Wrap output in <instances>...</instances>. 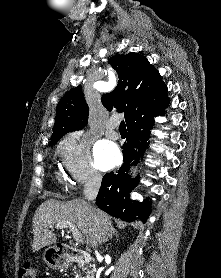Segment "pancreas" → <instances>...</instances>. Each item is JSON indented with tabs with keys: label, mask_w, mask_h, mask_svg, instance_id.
I'll return each mask as SVG.
<instances>
[{
	"label": "pancreas",
	"mask_w": 221,
	"mask_h": 278,
	"mask_svg": "<svg viewBox=\"0 0 221 278\" xmlns=\"http://www.w3.org/2000/svg\"><path fill=\"white\" fill-rule=\"evenodd\" d=\"M75 270H76V268H75ZM83 271H84V272L87 271V272H86L87 274L90 273V271H89L87 268H84ZM74 273H75V278H85V277H82L80 271H77V270H76Z\"/></svg>",
	"instance_id": "cf45deb5"
}]
</instances>
